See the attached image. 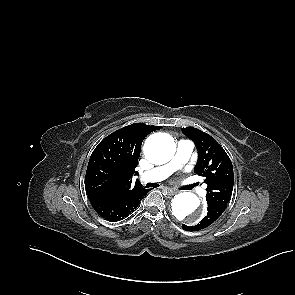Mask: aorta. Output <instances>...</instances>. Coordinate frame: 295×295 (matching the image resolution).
Instances as JSON below:
<instances>
[{"mask_svg": "<svg viewBox=\"0 0 295 295\" xmlns=\"http://www.w3.org/2000/svg\"><path fill=\"white\" fill-rule=\"evenodd\" d=\"M175 150L173 138L165 133L151 135L144 144V154L154 164L168 162ZM171 206L172 214L177 220L191 225L200 222L201 214L198 213L200 200L195 194L191 192L180 193L172 199Z\"/></svg>", "mask_w": 295, "mask_h": 295, "instance_id": "762f6f07", "label": "aorta"}]
</instances>
